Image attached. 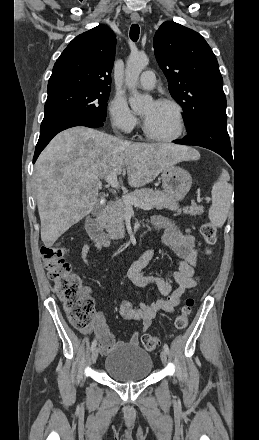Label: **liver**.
<instances>
[{"label":"liver","instance_id":"1","mask_svg":"<svg viewBox=\"0 0 259 440\" xmlns=\"http://www.w3.org/2000/svg\"><path fill=\"white\" fill-rule=\"evenodd\" d=\"M198 153L168 143H131L104 132L73 127L56 135L35 164L34 188L41 239L51 247L98 201V179L127 171L132 187L151 183L164 169L196 160Z\"/></svg>","mask_w":259,"mask_h":440}]
</instances>
